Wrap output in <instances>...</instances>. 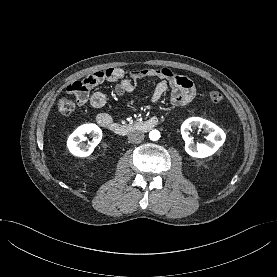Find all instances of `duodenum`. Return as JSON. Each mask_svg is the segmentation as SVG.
Returning <instances> with one entry per match:
<instances>
[{"label":"duodenum","instance_id":"1","mask_svg":"<svg viewBox=\"0 0 277 277\" xmlns=\"http://www.w3.org/2000/svg\"><path fill=\"white\" fill-rule=\"evenodd\" d=\"M157 124L158 120L156 118H150L133 124H121L112 120H104L101 122L102 127L120 136L128 135L134 131L147 132L153 129Z\"/></svg>","mask_w":277,"mask_h":277}]
</instances>
